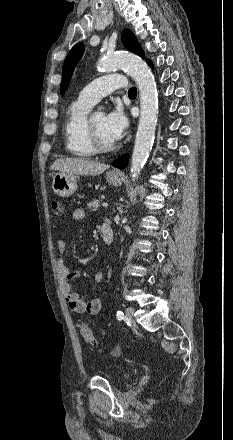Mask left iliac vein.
<instances>
[{"label":"left iliac vein","instance_id":"1","mask_svg":"<svg viewBox=\"0 0 233 440\" xmlns=\"http://www.w3.org/2000/svg\"><path fill=\"white\" fill-rule=\"evenodd\" d=\"M125 313L128 321L131 322L133 320L134 309L132 307H127Z\"/></svg>","mask_w":233,"mask_h":440}]
</instances>
